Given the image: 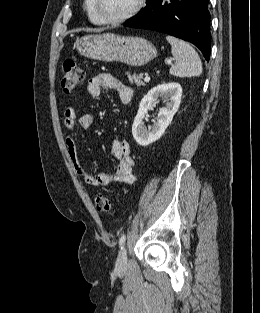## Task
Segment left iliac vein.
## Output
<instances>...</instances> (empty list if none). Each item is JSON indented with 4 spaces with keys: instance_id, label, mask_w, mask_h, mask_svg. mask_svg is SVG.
<instances>
[{
    "instance_id": "1",
    "label": "left iliac vein",
    "mask_w": 260,
    "mask_h": 313,
    "mask_svg": "<svg viewBox=\"0 0 260 313\" xmlns=\"http://www.w3.org/2000/svg\"><path fill=\"white\" fill-rule=\"evenodd\" d=\"M127 265V250L126 247L123 246L118 254L117 260H116V268L117 269H123Z\"/></svg>"
}]
</instances>
